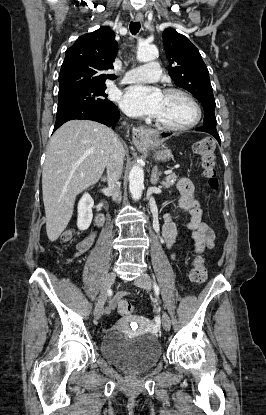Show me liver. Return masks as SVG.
I'll use <instances>...</instances> for the list:
<instances>
[{
    "instance_id": "6515ba94",
    "label": "liver",
    "mask_w": 266,
    "mask_h": 415,
    "mask_svg": "<svg viewBox=\"0 0 266 415\" xmlns=\"http://www.w3.org/2000/svg\"><path fill=\"white\" fill-rule=\"evenodd\" d=\"M115 137L110 128L90 120L68 121L51 137L42 172L50 241L57 240L67 227L76 196L99 181Z\"/></svg>"
}]
</instances>
